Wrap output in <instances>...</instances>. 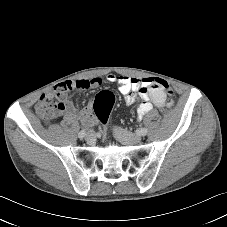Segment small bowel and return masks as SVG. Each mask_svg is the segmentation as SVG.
I'll list each match as a JSON object with an SVG mask.
<instances>
[{"label": "small bowel", "instance_id": "obj_1", "mask_svg": "<svg viewBox=\"0 0 227 227\" xmlns=\"http://www.w3.org/2000/svg\"><path fill=\"white\" fill-rule=\"evenodd\" d=\"M106 81L117 85L128 106L135 105L138 99H141L137 109L138 119H142L153 107L163 108L171 104V101L167 99L166 91L155 78L108 74ZM101 84L102 79L98 77L58 84L51 92L41 96L36 105V112L47 123L65 115L79 119L84 125H91L94 123L92 102H89L82 110H77L74 107L73 98L68 92L74 88H95Z\"/></svg>", "mask_w": 227, "mask_h": 227}]
</instances>
